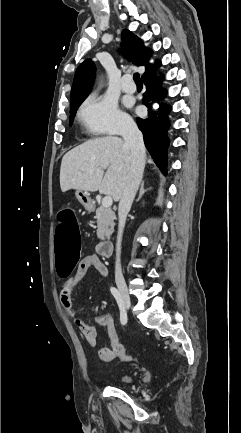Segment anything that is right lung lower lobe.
<instances>
[{
    "label": "right lung lower lobe",
    "instance_id": "right-lung-lower-lobe-1",
    "mask_svg": "<svg viewBox=\"0 0 241 433\" xmlns=\"http://www.w3.org/2000/svg\"><path fill=\"white\" fill-rule=\"evenodd\" d=\"M142 80L146 86V92L143 95V102L147 107H149L148 118H137L136 121L139 129L143 133L146 148L160 170L166 174L167 148L170 143L166 136V132L170 126L167 115L171 111V107L168 105L160 106L159 114L150 109L151 102L156 101L161 94L160 84L163 80V76H161V79H158L156 77V72L154 71ZM164 94L166 95V91Z\"/></svg>",
    "mask_w": 241,
    "mask_h": 433
}]
</instances>
